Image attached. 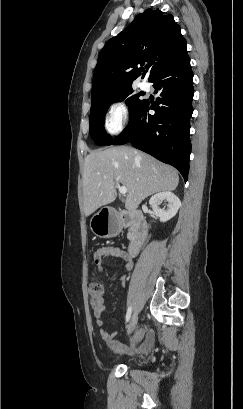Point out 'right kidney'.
I'll return each instance as SVG.
<instances>
[{
	"instance_id": "obj_1",
	"label": "right kidney",
	"mask_w": 243,
	"mask_h": 409,
	"mask_svg": "<svg viewBox=\"0 0 243 409\" xmlns=\"http://www.w3.org/2000/svg\"><path fill=\"white\" fill-rule=\"evenodd\" d=\"M163 200L168 202L167 209L159 208V204ZM149 205L153 209L154 214L160 219V221L166 222L177 214L178 209L181 206V202L174 193L170 191H163L152 196L149 201Z\"/></svg>"
}]
</instances>
